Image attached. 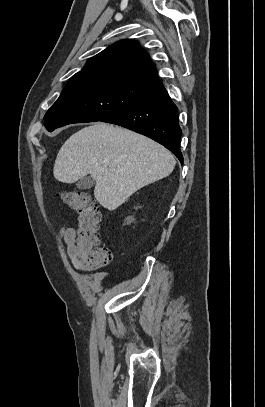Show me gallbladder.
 <instances>
[{"label":"gallbladder","instance_id":"bac80fb5","mask_svg":"<svg viewBox=\"0 0 265 407\" xmlns=\"http://www.w3.org/2000/svg\"><path fill=\"white\" fill-rule=\"evenodd\" d=\"M94 184H95V181L92 177L85 176V177L79 179L76 186L78 189L87 190V189L92 188L94 186Z\"/></svg>","mask_w":265,"mask_h":407}]
</instances>
